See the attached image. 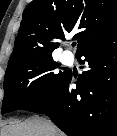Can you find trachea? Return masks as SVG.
Here are the masks:
<instances>
[{"label": "trachea", "mask_w": 117, "mask_h": 136, "mask_svg": "<svg viewBox=\"0 0 117 136\" xmlns=\"http://www.w3.org/2000/svg\"><path fill=\"white\" fill-rule=\"evenodd\" d=\"M75 45H76V42H73V43H72V46H75Z\"/></svg>", "instance_id": "3493384b"}]
</instances>
